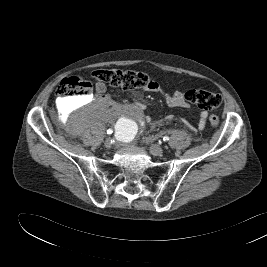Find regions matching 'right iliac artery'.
<instances>
[{
    "label": "right iliac artery",
    "instance_id": "right-iliac-artery-1",
    "mask_svg": "<svg viewBox=\"0 0 267 267\" xmlns=\"http://www.w3.org/2000/svg\"><path fill=\"white\" fill-rule=\"evenodd\" d=\"M107 133H108V134H111V133H113V129H111V128H110V129H108V130H107Z\"/></svg>",
    "mask_w": 267,
    "mask_h": 267
}]
</instances>
